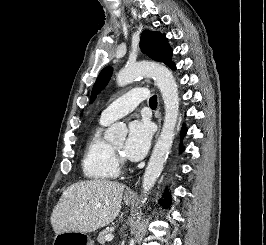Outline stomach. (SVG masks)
Instances as JSON below:
<instances>
[{"instance_id": "stomach-1", "label": "stomach", "mask_w": 266, "mask_h": 245, "mask_svg": "<svg viewBox=\"0 0 266 245\" xmlns=\"http://www.w3.org/2000/svg\"><path fill=\"white\" fill-rule=\"evenodd\" d=\"M126 205H131V199L124 197ZM57 242H71L73 245H93L87 233H56Z\"/></svg>"}]
</instances>
